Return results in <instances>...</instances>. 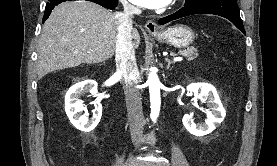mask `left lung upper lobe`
I'll return each mask as SVG.
<instances>
[{"label": "left lung upper lobe", "instance_id": "5c2ea615", "mask_svg": "<svg viewBox=\"0 0 277 166\" xmlns=\"http://www.w3.org/2000/svg\"><path fill=\"white\" fill-rule=\"evenodd\" d=\"M197 1H199V0H186V2H185V5H184V6L191 5V4H193V3L197 2Z\"/></svg>", "mask_w": 277, "mask_h": 166}]
</instances>
